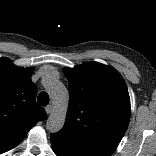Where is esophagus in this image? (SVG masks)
I'll return each mask as SVG.
<instances>
[{
	"mask_svg": "<svg viewBox=\"0 0 156 156\" xmlns=\"http://www.w3.org/2000/svg\"><path fill=\"white\" fill-rule=\"evenodd\" d=\"M45 111L47 114H50L52 112V106L51 105L46 106Z\"/></svg>",
	"mask_w": 156,
	"mask_h": 156,
	"instance_id": "34e87169",
	"label": "esophagus"
}]
</instances>
